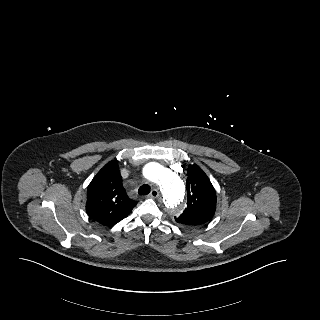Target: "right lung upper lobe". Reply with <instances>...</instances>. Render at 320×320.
<instances>
[{
    "instance_id": "obj_1",
    "label": "right lung upper lobe",
    "mask_w": 320,
    "mask_h": 320,
    "mask_svg": "<svg viewBox=\"0 0 320 320\" xmlns=\"http://www.w3.org/2000/svg\"><path fill=\"white\" fill-rule=\"evenodd\" d=\"M136 205L137 202L126 195L122 186L117 160L107 163L88 186L87 214L104 226L113 227Z\"/></svg>"
}]
</instances>
